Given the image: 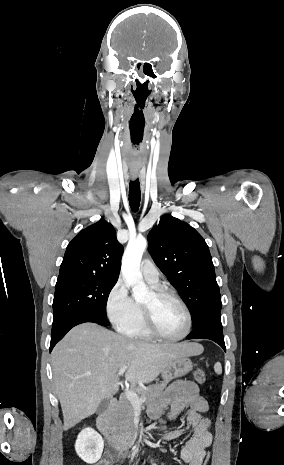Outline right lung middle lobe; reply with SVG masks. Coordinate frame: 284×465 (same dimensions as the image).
Instances as JSON below:
<instances>
[{"label": "right lung middle lobe", "mask_w": 284, "mask_h": 465, "mask_svg": "<svg viewBox=\"0 0 284 465\" xmlns=\"http://www.w3.org/2000/svg\"><path fill=\"white\" fill-rule=\"evenodd\" d=\"M117 280L70 276L58 278L53 300V322L77 312L106 315V303Z\"/></svg>", "instance_id": "obj_1"}]
</instances>
